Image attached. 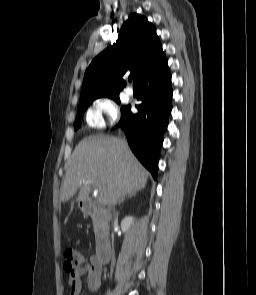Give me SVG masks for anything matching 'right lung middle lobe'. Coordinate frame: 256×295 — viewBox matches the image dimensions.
<instances>
[{
  "label": "right lung middle lobe",
  "mask_w": 256,
  "mask_h": 295,
  "mask_svg": "<svg viewBox=\"0 0 256 295\" xmlns=\"http://www.w3.org/2000/svg\"><path fill=\"white\" fill-rule=\"evenodd\" d=\"M109 98L115 100L117 103H120L119 95L109 96ZM94 97L81 98L78 106L77 118L74 124V129L77 130L81 127L82 117L87 109V107L95 100ZM125 109V107H121V112Z\"/></svg>",
  "instance_id": "dd1d6c3e"
}]
</instances>
